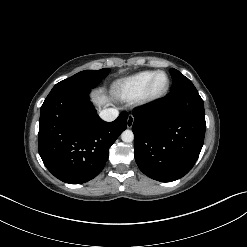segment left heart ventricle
I'll return each mask as SVG.
<instances>
[{
	"mask_svg": "<svg viewBox=\"0 0 247 247\" xmlns=\"http://www.w3.org/2000/svg\"><path fill=\"white\" fill-rule=\"evenodd\" d=\"M165 83H166L165 77L159 76L157 78L156 85H155L156 90H161L164 87Z\"/></svg>",
	"mask_w": 247,
	"mask_h": 247,
	"instance_id": "b2bd125f",
	"label": "left heart ventricle"
}]
</instances>
